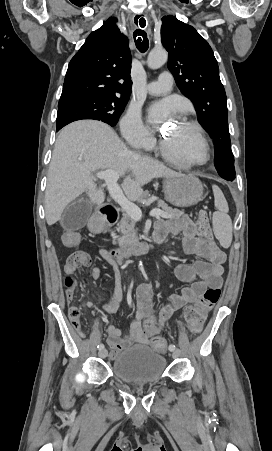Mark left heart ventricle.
I'll return each mask as SVG.
<instances>
[{"label": "left heart ventricle", "mask_w": 272, "mask_h": 451, "mask_svg": "<svg viewBox=\"0 0 272 451\" xmlns=\"http://www.w3.org/2000/svg\"><path fill=\"white\" fill-rule=\"evenodd\" d=\"M172 149L183 159L199 157V147L193 131L182 123H177L167 138Z\"/></svg>", "instance_id": "b2bd125f"}]
</instances>
